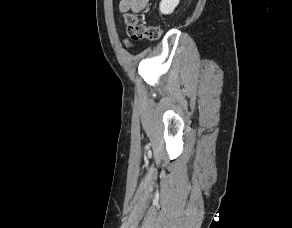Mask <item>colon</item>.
Instances as JSON below:
<instances>
[{
	"mask_svg": "<svg viewBox=\"0 0 292 228\" xmlns=\"http://www.w3.org/2000/svg\"><path fill=\"white\" fill-rule=\"evenodd\" d=\"M124 20L127 34L133 40H157L162 35V29L159 26H146L133 13H127Z\"/></svg>",
	"mask_w": 292,
	"mask_h": 228,
	"instance_id": "obj_1",
	"label": "colon"
}]
</instances>
